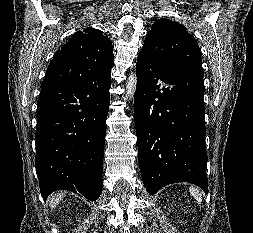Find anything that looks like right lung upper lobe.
Here are the masks:
<instances>
[{"label": "right lung upper lobe", "mask_w": 253, "mask_h": 233, "mask_svg": "<svg viewBox=\"0 0 253 233\" xmlns=\"http://www.w3.org/2000/svg\"><path fill=\"white\" fill-rule=\"evenodd\" d=\"M114 65L113 46L102 31L75 32L51 60L41 87L51 83L101 75Z\"/></svg>", "instance_id": "right-lung-upper-lobe-1"}]
</instances>
